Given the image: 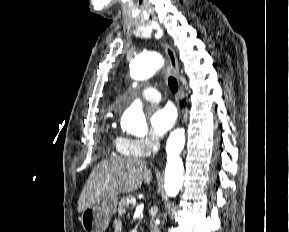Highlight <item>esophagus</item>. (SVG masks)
Here are the masks:
<instances>
[{
  "label": "esophagus",
  "mask_w": 289,
  "mask_h": 232,
  "mask_svg": "<svg viewBox=\"0 0 289 232\" xmlns=\"http://www.w3.org/2000/svg\"><path fill=\"white\" fill-rule=\"evenodd\" d=\"M165 51L170 62L171 70L173 74L175 75V77L179 80L180 73H179V64H178L177 56L174 50L171 48V46L168 45L167 43H165Z\"/></svg>",
  "instance_id": "34e87169"
}]
</instances>
